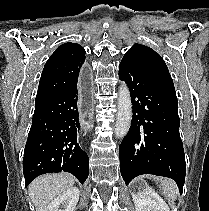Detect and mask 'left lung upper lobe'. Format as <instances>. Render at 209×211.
Instances as JSON below:
<instances>
[{
	"instance_id": "5c2ea615",
	"label": "left lung upper lobe",
	"mask_w": 209,
	"mask_h": 211,
	"mask_svg": "<svg viewBox=\"0 0 209 211\" xmlns=\"http://www.w3.org/2000/svg\"><path fill=\"white\" fill-rule=\"evenodd\" d=\"M124 56L135 59L151 74L173 84L172 78L164 60L150 47L142 44H134Z\"/></svg>"
}]
</instances>
